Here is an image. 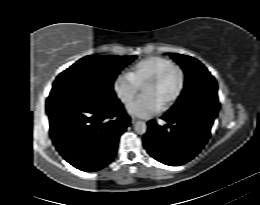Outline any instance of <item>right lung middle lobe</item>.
Wrapping results in <instances>:
<instances>
[{
  "mask_svg": "<svg viewBox=\"0 0 260 205\" xmlns=\"http://www.w3.org/2000/svg\"><path fill=\"white\" fill-rule=\"evenodd\" d=\"M136 56L88 55L60 73L52 90L70 89L103 102L117 101L113 84L121 70Z\"/></svg>",
  "mask_w": 260,
  "mask_h": 205,
  "instance_id": "1",
  "label": "right lung middle lobe"
}]
</instances>
